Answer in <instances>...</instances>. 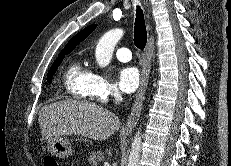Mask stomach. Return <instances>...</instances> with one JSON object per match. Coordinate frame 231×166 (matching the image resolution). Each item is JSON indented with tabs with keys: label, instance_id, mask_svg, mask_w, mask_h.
<instances>
[{
	"label": "stomach",
	"instance_id": "1",
	"mask_svg": "<svg viewBox=\"0 0 231 166\" xmlns=\"http://www.w3.org/2000/svg\"><path fill=\"white\" fill-rule=\"evenodd\" d=\"M47 143L48 151L58 158H67L72 154L70 141L66 137H52Z\"/></svg>",
	"mask_w": 231,
	"mask_h": 166
}]
</instances>
